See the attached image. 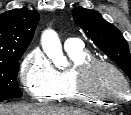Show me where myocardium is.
Wrapping results in <instances>:
<instances>
[{
	"label": "myocardium",
	"mask_w": 131,
	"mask_h": 115,
	"mask_svg": "<svg viewBox=\"0 0 131 115\" xmlns=\"http://www.w3.org/2000/svg\"><path fill=\"white\" fill-rule=\"evenodd\" d=\"M99 67L107 68L113 71L114 73H116L119 76V78L122 80V82L124 83L126 96L131 93L130 84L127 78L125 77V75L123 74V72L114 64L106 60L97 59V58L88 60L78 65L74 69L73 88L75 92L84 98L95 100V101L105 103V104H116L119 102H124L125 97L111 98L103 94H100L91 88L90 86L91 74L93 73V71H95Z\"/></svg>",
	"instance_id": "f54148a6"
}]
</instances>
